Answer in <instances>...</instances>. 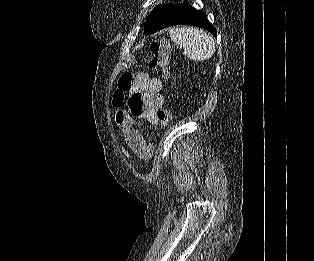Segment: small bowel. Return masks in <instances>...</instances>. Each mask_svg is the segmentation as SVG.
<instances>
[{
    "mask_svg": "<svg viewBox=\"0 0 314 261\" xmlns=\"http://www.w3.org/2000/svg\"><path fill=\"white\" fill-rule=\"evenodd\" d=\"M161 90L162 82L159 79L151 77L147 72H140L129 93L126 109L122 108L124 98H113V103L118 108L116 123L123 132L125 142L143 161L150 159L154 147L144 139L140 127L143 121L153 127L159 126L157 112L164 101Z\"/></svg>",
    "mask_w": 314,
    "mask_h": 261,
    "instance_id": "c3829d8e",
    "label": "small bowel"
}]
</instances>
